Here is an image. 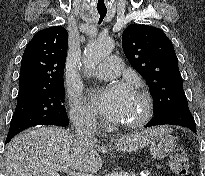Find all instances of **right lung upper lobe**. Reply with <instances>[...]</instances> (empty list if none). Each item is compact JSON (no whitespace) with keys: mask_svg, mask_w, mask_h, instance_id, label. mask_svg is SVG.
<instances>
[{"mask_svg":"<svg viewBox=\"0 0 205 176\" xmlns=\"http://www.w3.org/2000/svg\"><path fill=\"white\" fill-rule=\"evenodd\" d=\"M67 48L68 33L64 27L37 32L23 53L18 94L64 84Z\"/></svg>","mask_w":205,"mask_h":176,"instance_id":"1","label":"right lung upper lobe"}]
</instances>
